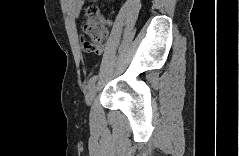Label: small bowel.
Returning <instances> with one entry per match:
<instances>
[{"instance_id": "small-bowel-1", "label": "small bowel", "mask_w": 239, "mask_h": 156, "mask_svg": "<svg viewBox=\"0 0 239 156\" xmlns=\"http://www.w3.org/2000/svg\"><path fill=\"white\" fill-rule=\"evenodd\" d=\"M82 4H83V1H82V0H73V1H71V2L69 3V9H70V11H71L74 15H77L78 12H79V9H80L81 6H82ZM84 42H85V40H84V39H81L82 47H83V45H84ZM83 49H84V48H83ZM102 50H103V46L100 45V46H99L94 52H92V53L98 54V53H101Z\"/></svg>"}]
</instances>
